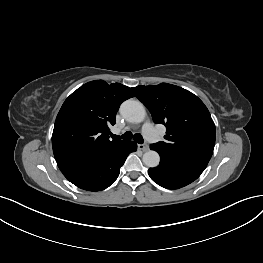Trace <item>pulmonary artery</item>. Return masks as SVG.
Instances as JSON below:
<instances>
[{
	"label": "pulmonary artery",
	"mask_w": 263,
	"mask_h": 263,
	"mask_svg": "<svg viewBox=\"0 0 263 263\" xmlns=\"http://www.w3.org/2000/svg\"><path fill=\"white\" fill-rule=\"evenodd\" d=\"M143 133L146 139L151 143H156L159 140L157 131L153 128L152 124L147 122L143 126Z\"/></svg>",
	"instance_id": "1"
}]
</instances>
